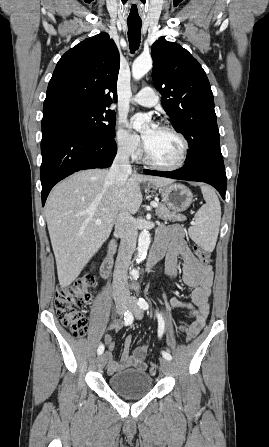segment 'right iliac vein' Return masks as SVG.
<instances>
[{
    "label": "right iliac vein",
    "mask_w": 269,
    "mask_h": 447,
    "mask_svg": "<svg viewBox=\"0 0 269 447\" xmlns=\"http://www.w3.org/2000/svg\"><path fill=\"white\" fill-rule=\"evenodd\" d=\"M126 307H127V303L125 301H123V300H117L116 301V309H117V313L119 315H123L124 314V312L126 310ZM106 361H107L106 354H101L100 356H98V358H97V367H98L99 370H101L104 367V365L106 364Z\"/></svg>",
    "instance_id": "right-iliac-vein-1"
}]
</instances>
